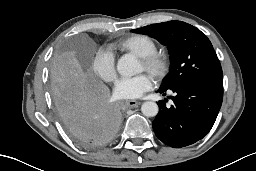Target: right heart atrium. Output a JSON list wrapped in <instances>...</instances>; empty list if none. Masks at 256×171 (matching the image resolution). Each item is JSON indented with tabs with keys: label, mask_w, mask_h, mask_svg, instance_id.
<instances>
[{
	"label": "right heart atrium",
	"mask_w": 256,
	"mask_h": 171,
	"mask_svg": "<svg viewBox=\"0 0 256 171\" xmlns=\"http://www.w3.org/2000/svg\"><path fill=\"white\" fill-rule=\"evenodd\" d=\"M92 70L104 81H114L117 75L114 55L106 50L98 51L92 60Z\"/></svg>",
	"instance_id": "right-heart-atrium-1"
}]
</instances>
